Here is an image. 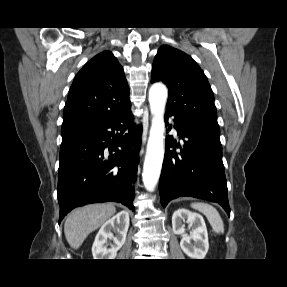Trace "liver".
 <instances>
[{
	"label": "liver",
	"mask_w": 287,
	"mask_h": 287,
	"mask_svg": "<svg viewBox=\"0 0 287 287\" xmlns=\"http://www.w3.org/2000/svg\"><path fill=\"white\" fill-rule=\"evenodd\" d=\"M115 212L113 204H91L72 211L64 224V233L69 245L78 249L87 236L103 225Z\"/></svg>",
	"instance_id": "6515ba94"
}]
</instances>
